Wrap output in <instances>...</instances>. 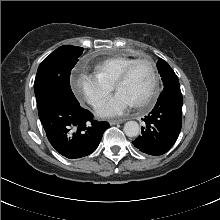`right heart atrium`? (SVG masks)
I'll return each instance as SVG.
<instances>
[{"instance_id":"obj_1","label":"right heart atrium","mask_w":220,"mask_h":220,"mask_svg":"<svg viewBox=\"0 0 220 220\" xmlns=\"http://www.w3.org/2000/svg\"><path fill=\"white\" fill-rule=\"evenodd\" d=\"M73 93L93 107L99 106L111 94L113 87L96 75L79 73L71 79Z\"/></svg>"}]
</instances>
